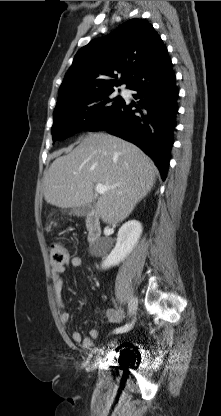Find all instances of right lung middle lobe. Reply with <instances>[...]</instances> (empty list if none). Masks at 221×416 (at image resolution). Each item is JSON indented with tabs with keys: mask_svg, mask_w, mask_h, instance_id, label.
<instances>
[{
	"mask_svg": "<svg viewBox=\"0 0 221 416\" xmlns=\"http://www.w3.org/2000/svg\"><path fill=\"white\" fill-rule=\"evenodd\" d=\"M114 90L99 92L71 102L56 105L52 126L53 141L64 140L82 131H96L108 122L124 100L113 95Z\"/></svg>",
	"mask_w": 221,
	"mask_h": 416,
	"instance_id": "obj_1",
	"label": "right lung middle lobe"
}]
</instances>
